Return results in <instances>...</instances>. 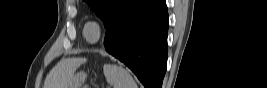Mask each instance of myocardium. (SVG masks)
<instances>
[{
    "instance_id": "1",
    "label": "myocardium",
    "mask_w": 267,
    "mask_h": 88,
    "mask_svg": "<svg viewBox=\"0 0 267 88\" xmlns=\"http://www.w3.org/2000/svg\"><path fill=\"white\" fill-rule=\"evenodd\" d=\"M90 27H93L96 30V36L94 38H90L88 35V29ZM102 33H103V30H102V27H101L99 22L88 21L85 23L84 28H83V35H84L85 40L88 43L94 44V43H97L98 41H100V39L102 37Z\"/></svg>"
}]
</instances>
